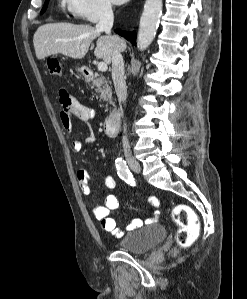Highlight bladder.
<instances>
[{"instance_id": "bladder-1", "label": "bladder", "mask_w": 247, "mask_h": 299, "mask_svg": "<svg viewBox=\"0 0 247 299\" xmlns=\"http://www.w3.org/2000/svg\"><path fill=\"white\" fill-rule=\"evenodd\" d=\"M165 236V227L159 223H153L128 233L118 241V246L126 252L141 254L156 247Z\"/></svg>"}]
</instances>
